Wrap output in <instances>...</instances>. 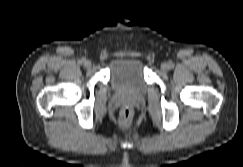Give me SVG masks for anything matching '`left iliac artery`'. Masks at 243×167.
Masks as SVG:
<instances>
[{
	"instance_id": "1",
	"label": "left iliac artery",
	"mask_w": 243,
	"mask_h": 167,
	"mask_svg": "<svg viewBox=\"0 0 243 167\" xmlns=\"http://www.w3.org/2000/svg\"><path fill=\"white\" fill-rule=\"evenodd\" d=\"M169 66H170V67H173V64H172V62H170V63H169Z\"/></svg>"
}]
</instances>
